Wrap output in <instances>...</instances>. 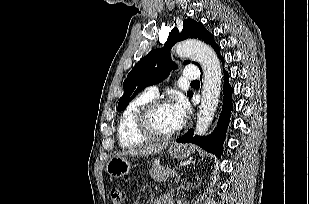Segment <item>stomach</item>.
<instances>
[{
    "label": "stomach",
    "mask_w": 309,
    "mask_h": 204,
    "mask_svg": "<svg viewBox=\"0 0 309 204\" xmlns=\"http://www.w3.org/2000/svg\"><path fill=\"white\" fill-rule=\"evenodd\" d=\"M169 154L176 159H184L194 151L192 145L173 144L168 149ZM130 158L127 155H115L106 165V172L114 178H122L131 170Z\"/></svg>",
    "instance_id": "1"
}]
</instances>
